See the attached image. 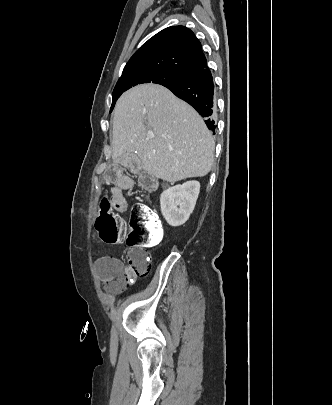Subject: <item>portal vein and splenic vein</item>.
<instances>
[{
    "label": "portal vein and splenic vein",
    "mask_w": 332,
    "mask_h": 405,
    "mask_svg": "<svg viewBox=\"0 0 332 405\" xmlns=\"http://www.w3.org/2000/svg\"><path fill=\"white\" fill-rule=\"evenodd\" d=\"M150 137L153 138L154 137L153 134Z\"/></svg>",
    "instance_id": "1"
}]
</instances>
